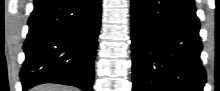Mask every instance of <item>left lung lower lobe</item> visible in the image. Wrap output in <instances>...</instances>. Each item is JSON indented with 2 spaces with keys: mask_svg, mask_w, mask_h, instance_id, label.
Instances as JSON below:
<instances>
[{
  "mask_svg": "<svg viewBox=\"0 0 220 91\" xmlns=\"http://www.w3.org/2000/svg\"><path fill=\"white\" fill-rule=\"evenodd\" d=\"M193 0H132L133 91H203Z\"/></svg>",
  "mask_w": 220,
  "mask_h": 91,
  "instance_id": "obj_1",
  "label": "left lung lower lobe"
}]
</instances>
